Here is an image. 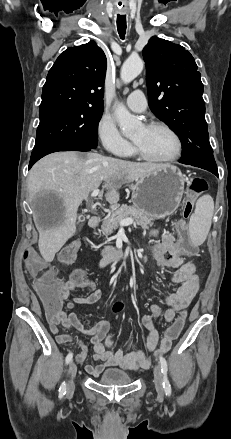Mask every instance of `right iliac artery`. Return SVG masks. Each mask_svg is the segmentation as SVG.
I'll return each mask as SVG.
<instances>
[{
  "label": "right iliac artery",
  "instance_id": "1",
  "mask_svg": "<svg viewBox=\"0 0 231 439\" xmlns=\"http://www.w3.org/2000/svg\"><path fill=\"white\" fill-rule=\"evenodd\" d=\"M72 358H73V353L70 352V353L66 356V359H65L66 364H69V363L71 362ZM65 393H66V383L63 382V383L61 384L60 388H59V396H60V397H63V396L65 395Z\"/></svg>",
  "mask_w": 231,
  "mask_h": 439
}]
</instances>
